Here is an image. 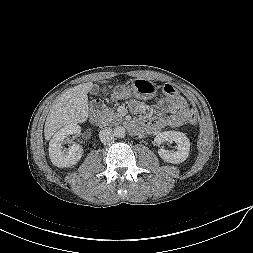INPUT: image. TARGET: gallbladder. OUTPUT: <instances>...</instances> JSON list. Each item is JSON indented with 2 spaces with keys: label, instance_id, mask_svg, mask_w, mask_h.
Listing matches in <instances>:
<instances>
[{
  "label": "gallbladder",
  "instance_id": "bac80fb5",
  "mask_svg": "<svg viewBox=\"0 0 253 253\" xmlns=\"http://www.w3.org/2000/svg\"><path fill=\"white\" fill-rule=\"evenodd\" d=\"M90 94H91V95L97 94V88H92V89L90 90Z\"/></svg>",
  "mask_w": 253,
  "mask_h": 253
}]
</instances>
